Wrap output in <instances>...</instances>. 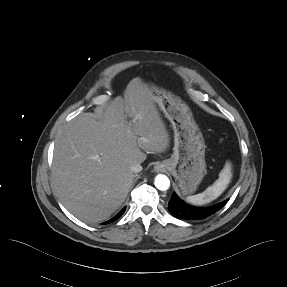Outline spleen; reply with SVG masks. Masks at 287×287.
Returning <instances> with one entry per match:
<instances>
[{
	"label": "spleen",
	"instance_id": "1",
	"mask_svg": "<svg viewBox=\"0 0 287 287\" xmlns=\"http://www.w3.org/2000/svg\"><path fill=\"white\" fill-rule=\"evenodd\" d=\"M232 178L231 163L226 162L224 168L219 173V178L202 193L186 197V201L193 205L207 204L218 198L227 188Z\"/></svg>",
	"mask_w": 287,
	"mask_h": 287
}]
</instances>
